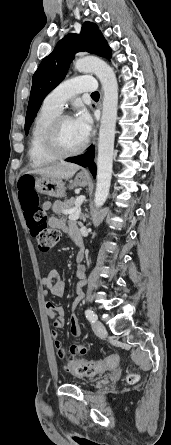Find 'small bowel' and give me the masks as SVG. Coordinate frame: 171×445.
Listing matches in <instances>:
<instances>
[{"label": "small bowel", "mask_w": 171, "mask_h": 445, "mask_svg": "<svg viewBox=\"0 0 171 445\" xmlns=\"http://www.w3.org/2000/svg\"><path fill=\"white\" fill-rule=\"evenodd\" d=\"M56 205L52 204L51 202L44 203V208L46 210L54 209ZM49 224L55 229H62L67 230L71 236L80 235L79 230L77 226L73 223L66 225L64 220L57 218V217H51L49 219ZM80 255H78L79 258ZM77 275L80 278V285H83L85 283V267L79 266L77 269ZM41 284L47 288V291L44 292V295L46 296L48 292H50L52 295L57 297H62L65 293V282L61 280L58 276V274L54 271L49 272L41 279ZM76 304L73 305V310L75 309ZM45 309L48 317L53 319V327L55 329H59L64 325L65 320V310L62 306L56 305L51 301L45 302ZM70 332L73 336L77 337L80 335V326L77 321L76 317H72L70 320ZM52 338L54 340V347L58 353L59 356L63 357L65 356V351L63 348L62 341L59 337V334L57 331L52 332ZM81 345L76 343L71 346L70 353L68 355V361L73 362L74 361V355L77 351L80 352ZM115 362L112 365H109L107 369H115L118 363V357L115 356Z\"/></svg>", "instance_id": "obj_1"}]
</instances>
